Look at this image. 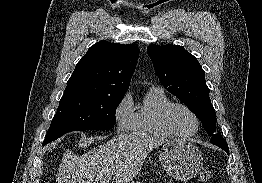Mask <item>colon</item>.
Masks as SVG:
<instances>
[{"instance_id":"5ec220e1","label":"colon","mask_w":262,"mask_h":183,"mask_svg":"<svg viewBox=\"0 0 262 183\" xmlns=\"http://www.w3.org/2000/svg\"><path fill=\"white\" fill-rule=\"evenodd\" d=\"M199 181L201 182H208L210 181L211 179V171L210 170H202L200 173H199Z\"/></svg>"}]
</instances>
